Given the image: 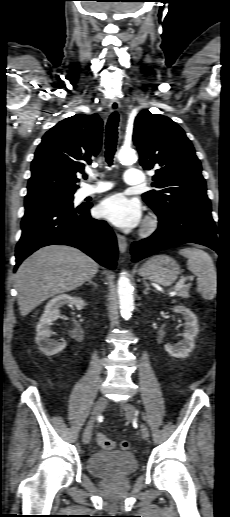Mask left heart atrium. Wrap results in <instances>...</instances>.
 Masks as SVG:
<instances>
[{
    "label": "left heart atrium",
    "mask_w": 230,
    "mask_h": 517,
    "mask_svg": "<svg viewBox=\"0 0 230 517\" xmlns=\"http://www.w3.org/2000/svg\"><path fill=\"white\" fill-rule=\"evenodd\" d=\"M98 214L117 227H135L141 219V207L137 200L123 194H115L104 199L98 206Z\"/></svg>",
    "instance_id": "1"
}]
</instances>
